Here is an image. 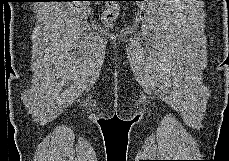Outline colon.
Wrapping results in <instances>:
<instances>
[{"mask_svg": "<svg viewBox=\"0 0 229 161\" xmlns=\"http://www.w3.org/2000/svg\"><path fill=\"white\" fill-rule=\"evenodd\" d=\"M118 12L119 5L116 3V1H110V3L107 4L106 9L101 16L102 23L107 27L112 26L113 22L116 20L118 16Z\"/></svg>", "mask_w": 229, "mask_h": 161, "instance_id": "obj_1", "label": "colon"}]
</instances>
